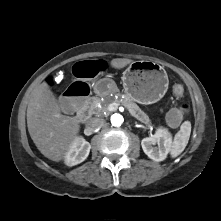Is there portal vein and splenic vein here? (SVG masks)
I'll return each instance as SVG.
<instances>
[{"label":"portal vein and splenic vein","mask_w":221,"mask_h":221,"mask_svg":"<svg viewBox=\"0 0 221 221\" xmlns=\"http://www.w3.org/2000/svg\"><path fill=\"white\" fill-rule=\"evenodd\" d=\"M110 106L112 107V109H116V108L119 106V104H117V103H112Z\"/></svg>","instance_id":"1"}]
</instances>
